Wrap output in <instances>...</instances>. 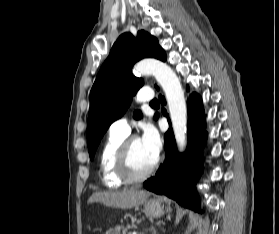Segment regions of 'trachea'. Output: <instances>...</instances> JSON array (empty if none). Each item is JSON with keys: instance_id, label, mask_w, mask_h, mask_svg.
Listing matches in <instances>:
<instances>
[{"instance_id": "1", "label": "trachea", "mask_w": 279, "mask_h": 234, "mask_svg": "<svg viewBox=\"0 0 279 234\" xmlns=\"http://www.w3.org/2000/svg\"><path fill=\"white\" fill-rule=\"evenodd\" d=\"M159 101L157 99H154L150 102V105H158Z\"/></svg>"}]
</instances>
